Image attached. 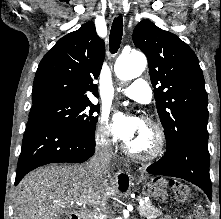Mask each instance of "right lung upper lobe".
I'll return each mask as SVG.
<instances>
[{"label":"right lung upper lobe","instance_id":"1","mask_svg":"<svg viewBox=\"0 0 221 219\" xmlns=\"http://www.w3.org/2000/svg\"><path fill=\"white\" fill-rule=\"evenodd\" d=\"M105 55L104 41L89 21L51 48L41 60L33 84L32 103L49 98L89 100L98 97V78Z\"/></svg>","mask_w":221,"mask_h":219}]
</instances>
